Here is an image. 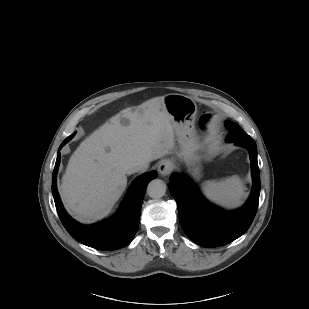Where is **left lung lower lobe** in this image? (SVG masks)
Returning <instances> with one entry per match:
<instances>
[{
    "label": "left lung lower lobe",
    "instance_id": "0a47b994",
    "mask_svg": "<svg viewBox=\"0 0 309 309\" xmlns=\"http://www.w3.org/2000/svg\"><path fill=\"white\" fill-rule=\"evenodd\" d=\"M229 142L246 147L250 153L253 189L246 205L234 212H225L209 204L191 180L173 175L168 184L178 205L180 224L187 236L203 247L228 244L243 235L250 227L259 202L260 173L257 147L251 137L232 138Z\"/></svg>",
    "mask_w": 309,
    "mask_h": 309
}]
</instances>
